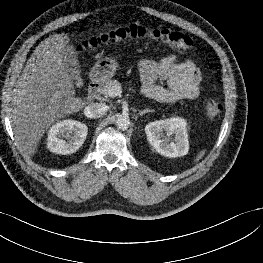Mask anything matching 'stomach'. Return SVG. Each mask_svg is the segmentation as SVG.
<instances>
[{
    "label": "stomach",
    "mask_w": 263,
    "mask_h": 263,
    "mask_svg": "<svg viewBox=\"0 0 263 263\" xmlns=\"http://www.w3.org/2000/svg\"><path fill=\"white\" fill-rule=\"evenodd\" d=\"M117 68L118 64L114 59H101L92 68L90 78L95 82H103L113 77L117 71Z\"/></svg>",
    "instance_id": "stomach-1"
}]
</instances>
